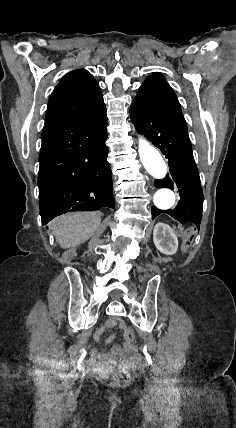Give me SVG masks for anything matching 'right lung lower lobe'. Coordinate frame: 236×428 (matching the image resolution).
Listing matches in <instances>:
<instances>
[{
  "label": "right lung lower lobe",
  "instance_id": "1",
  "mask_svg": "<svg viewBox=\"0 0 236 428\" xmlns=\"http://www.w3.org/2000/svg\"><path fill=\"white\" fill-rule=\"evenodd\" d=\"M106 110L43 129L38 175L42 224L72 211L114 209Z\"/></svg>",
  "mask_w": 236,
  "mask_h": 428
}]
</instances>
